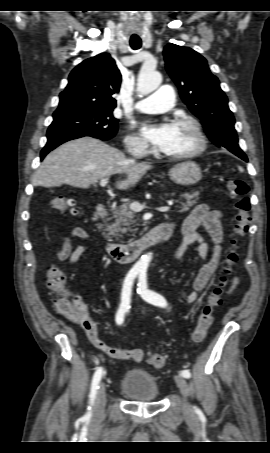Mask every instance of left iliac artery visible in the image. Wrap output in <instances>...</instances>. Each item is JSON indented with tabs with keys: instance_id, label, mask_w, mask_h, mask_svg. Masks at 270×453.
Here are the masks:
<instances>
[{
	"instance_id": "44dca946",
	"label": "left iliac artery",
	"mask_w": 270,
	"mask_h": 453,
	"mask_svg": "<svg viewBox=\"0 0 270 453\" xmlns=\"http://www.w3.org/2000/svg\"><path fill=\"white\" fill-rule=\"evenodd\" d=\"M137 292L148 303H151V304L159 306V307L167 306V302L162 295H160L154 291H151L147 288V278H146V274L143 272L139 273V283H138ZM181 375L184 378H190L191 373L189 370H182Z\"/></svg>"
}]
</instances>
